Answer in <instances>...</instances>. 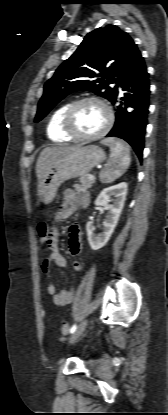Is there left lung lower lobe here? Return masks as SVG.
I'll return each mask as SVG.
<instances>
[{
  "label": "left lung lower lobe",
  "mask_w": 168,
  "mask_h": 415,
  "mask_svg": "<svg viewBox=\"0 0 168 415\" xmlns=\"http://www.w3.org/2000/svg\"><path fill=\"white\" fill-rule=\"evenodd\" d=\"M149 74L143 57L139 54L122 78L123 91L120 105H116L119 90L112 104L115 106V124L106 137H118L128 142L142 160L145 130L149 108Z\"/></svg>",
  "instance_id": "0a47b994"
}]
</instances>
